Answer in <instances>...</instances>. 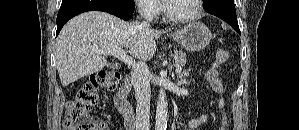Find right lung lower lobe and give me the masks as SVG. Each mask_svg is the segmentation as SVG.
Masks as SVG:
<instances>
[{
  "mask_svg": "<svg viewBox=\"0 0 299 130\" xmlns=\"http://www.w3.org/2000/svg\"><path fill=\"white\" fill-rule=\"evenodd\" d=\"M133 0H63L57 15V31L72 17L86 11H104L124 20L131 18L134 12Z\"/></svg>",
  "mask_w": 299,
  "mask_h": 130,
  "instance_id": "right-lung-lower-lobe-1",
  "label": "right lung lower lobe"
}]
</instances>
